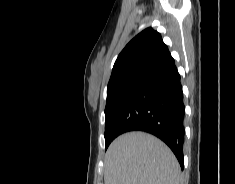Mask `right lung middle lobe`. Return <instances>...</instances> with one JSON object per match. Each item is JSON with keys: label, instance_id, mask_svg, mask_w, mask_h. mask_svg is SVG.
I'll return each mask as SVG.
<instances>
[{"label": "right lung middle lobe", "instance_id": "obj_1", "mask_svg": "<svg viewBox=\"0 0 235 184\" xmlns=\"http://www.w3.org/2000/svg\"><path fill=\"white\" fill-rule=\"evenodd\" d=\"M142 78H131L122 86L115 88L111 91H107V102L105 107V145L106 149L109 144L116 138V135L111 132L110 124L116 114V111L125 98L129 90L138 84Z\"/></svg>", "mask_w": 235, "mask_h": 184}]
</instances>
